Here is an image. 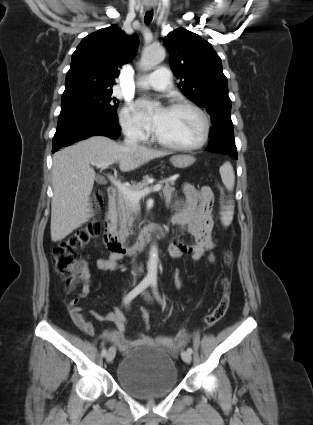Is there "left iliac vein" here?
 Instances as JSON below:
<instances>
[{
  "label": "left iliac vein",
  "instance_id": "1",
  "mask_svg": "<svg viewBox=\"0 0 313 425\" xmlns=\"http://www.w3.org/2000/svg\"><path fill=\"white\" fill-rule=\"evenodd\" d=\"M181 358L186 363H190L191 360H192L191 354L189 352H187V351H182Z\"/></svg>",
  "mask_w": 313,
  "mask_h": 425
}]
</instances>
